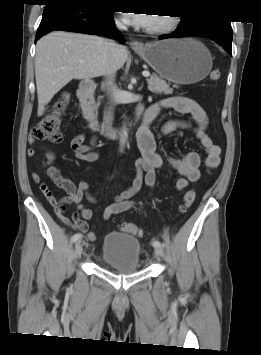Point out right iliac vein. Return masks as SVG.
Wrapping results in <instances>:
<instances>
[{
	"mask_svg": "<svg viewBox=\"0 0 261 355\" xmlns=\"http://www.w3.org/2000/svg\"><path fill=\"white\" fill-rule=\"evenodd\" d=\"M83 252V247L80 241H78L75 245V253L77 257H80Z\"/></svg>",
	"mask_w": 261,
	"mask_h": 355,
	"instance_id": "right-iliac-vein-1",
	"label": "right iliac vein"
}]
</instances>
